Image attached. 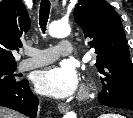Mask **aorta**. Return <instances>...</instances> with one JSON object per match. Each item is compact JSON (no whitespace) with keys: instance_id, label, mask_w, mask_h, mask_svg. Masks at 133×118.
Listing matches in <instances>:
<instances>
[{"instance_id":"1","label":"aorta","mask_w":133,"mask_h":118,"mask_svg":"<svg viewBox=\"0 0 133 118\" xmlns=\"http://www.w3.org/2000/svg\"><path fill=\"white\" fill-rule=\"evenodd\" d=\"M50 36L55 38H64L67 37L70 32V26L63 22H52L49 25L48 30ZM64 118H77L76 113L74 111H69L64 115Z\"/></svg>"}]
</instances>
